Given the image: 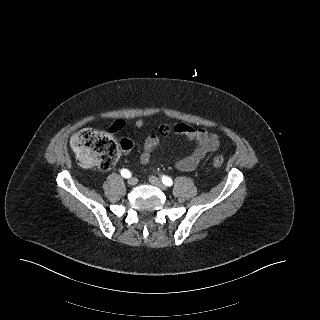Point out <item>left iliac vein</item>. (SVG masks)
Masks as SVG:
<instances>
[{"instance_id":"4c4485c4","label":"left iliac vein","mask_w":320,"mask_h":320,"mask_svg":"<svg viewBox=\"0 0 320 320\" xmlns=\"http://www.w3.org/2000/svg\"><path fill=\"white\" fill-rule=\"evenodd\" d=\"M149 181H150V183H152L153 185L159 187L162 190H166L167 189L166 186L162 183V181L159 178L155 177V176H150L149 177Z\"/></svg>"}]
</instances>
